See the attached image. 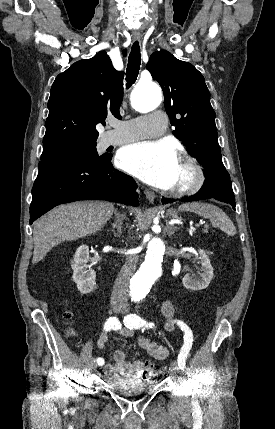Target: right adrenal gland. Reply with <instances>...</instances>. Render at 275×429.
Wrapping results in <instances>:
<instances>
[{"mask_svg":"<svg viewBox=\"0 0 275 429\" xmlns=\"http://www.w3.org/2000/svg\"><path fill=\"white\" fill-rule=\"evenodd\" d=\"M115 214V220L112 223V231L114 232L115 236H121L122 235V221L125 219V215L121 214L120 212H117V210L114 211ZM117 229V234L115 233L114 229Z\"/></svg>","mask_w":275,"mask_h":429,"instance_id":"1","label":"right adrenal gland"}]
</instances>
